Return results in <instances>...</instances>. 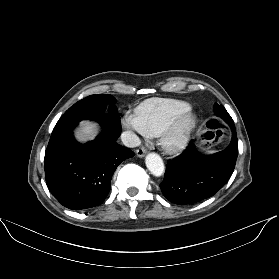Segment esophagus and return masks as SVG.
Listing matches in <instances>:
<instances>
[{
	"mask_svg": "<svg viewBox=\"0 0 279 279\" xmlns=\"http://www.w3.org/2000/svg\"><path fill=\"white\" fill-rule=\"evenodd\" d=\"M146 153H147V150L143 147L138 148L136 151V154L138 157H144Z\"/></svg>",
	"mask_w": 279,
	"mask_h": 279,
	"instance_id": "34e87169",
	"label": "esophagus"
}]
</instances>
